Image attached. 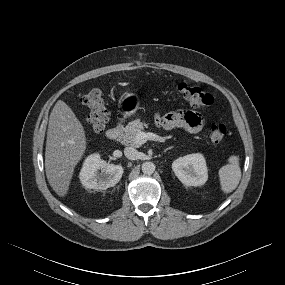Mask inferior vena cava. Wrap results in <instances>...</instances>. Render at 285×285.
Here are the masks:
<instances>
[{"label": "inferior vena cava", "mask_w": 285, "mask_h": 285, "mask_svg": "<svg viewBox=\"0 0 285 285\" xmlns=\"http://www.w3.org/2000/svg\"><path fill=\"white\" fill-rule=\"evenodd\" d=\"M138 151L133 147H126L124 154L129 160H136L138 158Z\"/></svg>", "instance_id": "1"}]
</instances>
